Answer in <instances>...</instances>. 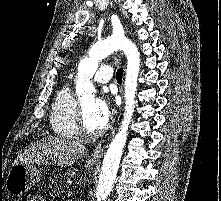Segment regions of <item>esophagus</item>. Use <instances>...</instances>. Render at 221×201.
I'll use <instances>...</instances> for the list:
<instances>
[{
	"mask_svg": "<svg viewBox=\"0 0 221 201\" xmlns=\"http://www.w3.org/2000/svg\"><path fill=\"white\" fill-rule=\"evenodd\" d=\"M113 134H114V130L112 131L111 136ZM110 137H108L107 139L101 140L97 144L94 152L89 156V161L90 162H96V163L100 162V160H101V158H102V156H103V154H104V152L106 150V147H107V145H108V143L110 141Z\"/></svg>",
	"mask_w": 221,
	"mask_h": 201,
	"instance_id": "obj_1",
	"label": "esophagus"
}]
</instances>
